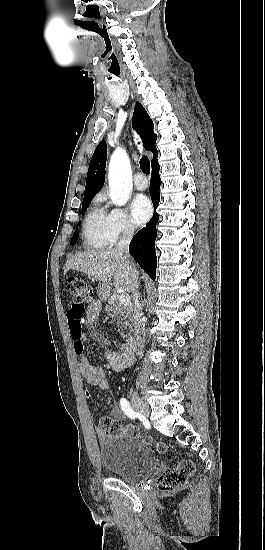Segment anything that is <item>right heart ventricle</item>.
<instances>
[{
    "label": "right heart ventricle",
    "instance_id": "e07e8e85",
    "mask_svg": "<svg viewBox=\"0 0 265 550\" xmlns=\"http://www.w3.org/2000/svg\"><path fill=\"white\" fill-rule=\"evenodd\" d=\"M84 245L88 248L103 249L114 241L110 234L108 213L99 205H94L85 216L82 226Z\"/></svg>",
    "mask_w": 265,
    "mask_h": 550
}]
</instances>
